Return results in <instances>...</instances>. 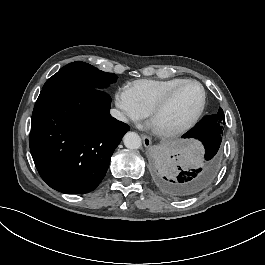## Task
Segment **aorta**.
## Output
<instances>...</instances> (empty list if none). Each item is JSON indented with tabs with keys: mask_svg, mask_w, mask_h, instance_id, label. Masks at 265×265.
Wrapping results in <instances>:
<instances>
[{
	"mask_svg": "<svg viewBox=\"0 0 265 265\" xmlns=\"http://www.w3.org/2000/svg\"><path fill=\"white\" fill-rule=\"evenodd\" d=\"M124 145L131 150H138L142 147V140L140 136L134 132H128L124 138Z\"/></svg>",
	"mask_w": 265,
	"mask_h": 265,
	"instance_id": "obj_1",
	"label": "aorta"
}]
</instances>
